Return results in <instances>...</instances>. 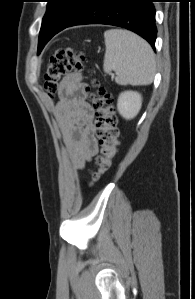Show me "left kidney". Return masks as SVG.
Returning <instances> with one entry per match:
<instances>
[{"mask_svg":"<svg viewBox=\"0 0 195 299\" xmlns=\"http://www.w3.org/2000/svg\"><path fill=\"white\" fill-rule=\"evenodd\" d=\"M142 97L138 92L125 91L118 97L117 108L125 119H133L141 109Z\"/></svg>","mask_w":195,"mask_h":299,"instance_id":"5707ae66","label":"left kidney"}]
</instances>
